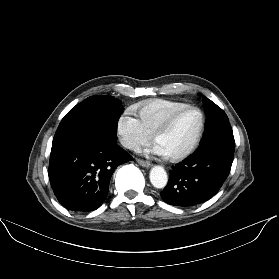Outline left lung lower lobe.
Returning a JSON list of instances; mask_svg holds the SVG:
<instances>
[{"label":"left lung lower lobe","mask_w":279,"mask_h":279,"mask_svg":"<svg viewBox=\"0 0 279 279\" xmlns=\"http://www.w3.org/2000/svg\"><path fill=\"white\" fill-rule=\"evenodd\" d=\"M234 150L219 144H208L184 162L176 164L160 193L175 206H193L213 197L229 175Z\"/></svg>","instance_id":"obj_1"}]
</instances>
